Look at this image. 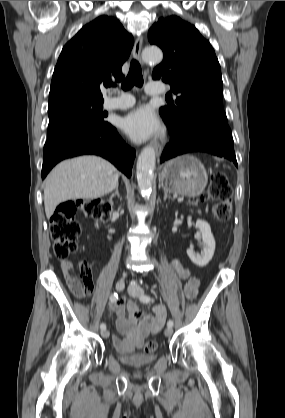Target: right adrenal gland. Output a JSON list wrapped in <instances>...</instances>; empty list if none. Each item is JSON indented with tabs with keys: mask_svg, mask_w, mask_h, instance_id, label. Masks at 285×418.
<instances>
[{
	"mask_svg": "<svg viewBox=\"0 0 285 418\" xmlns=\"http://www.w3.org/2000/svg\"><path fill=\"white\" fill-rule=\"evenodd\" d=\"M118 187H119V184H117V185H116V187H115V191H114V192L111 194V196H110V201H111V202H112V199H113L115 196L119 197Z\"/></svg>",
	"mask_w": 285,
	"mask_h": 418,
	"instance_id": "1",
	"label": "right adrenal gland"
}]
</instances>
